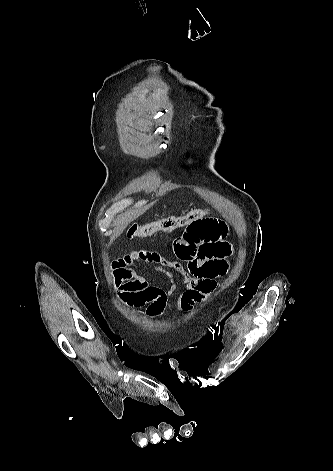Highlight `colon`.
Instances as JSON below:
<instances>
[{"label": "colon", "instance_id": "colon-1", "mask_svg": "<svg viewBox=\"0 0 333 471\" xmlns=\"http://www.w3.org/2000/svg\"><path fill=\"white\" fill-rule=\"evenodd\" d=\"M206 214L204 209H195L183 215L168 216L143 225L132 224L127 230V236L129 238L148 237L158 232L173 231L187 227Z\"/></svg>", "mask_w": 333, "mask_h": 471}]
</instances>
